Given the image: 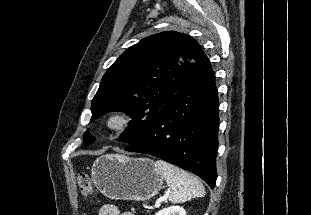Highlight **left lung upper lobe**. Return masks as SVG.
Listing matches in <instances>:
<instances>
[{
  "label": "left lung upper lobe",
  "mask_w": 311,
  "mask_h": 215,
  "mask_svg": "<svg viewBox=\"0 0 311 215\" xmlns=\"http://www.w3.org/2000/svg\"><path fill=\"white\" fill-rule=\"evenodd\" d=\"M202 54L197 41L183 33L161 32L142 39L104 74L92 100L91 121L110 111L127 113L132 120L118 140L131 144L184 85ZM94 140L85 132L84 146Z\"/></svg>",
  "instance_id": "obj_1"
}]
</instances>
